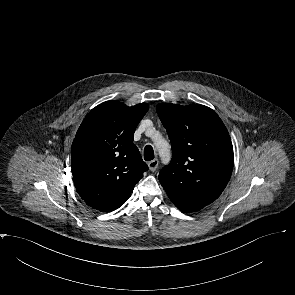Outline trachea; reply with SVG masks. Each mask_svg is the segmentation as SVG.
<instances>
[{
  "instance_id": "1",
  "label": "trachea",
  "mask_w": 295,
  "mask_h": 295,
  "mask_svg": "<svg viewBox=\"0 0 295 295\" xmlns=\"http://www.w3.org/2000/svg\"><path fill=\"white\" fill-rule=\"evenodd\" d=\"M144 159L150 161L154 159V151L151 145H147L144 148Z\"/></svg>"
}]
</instances>
